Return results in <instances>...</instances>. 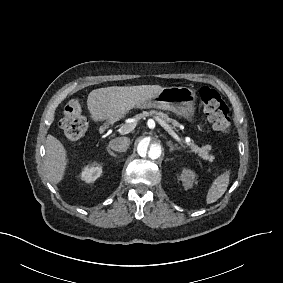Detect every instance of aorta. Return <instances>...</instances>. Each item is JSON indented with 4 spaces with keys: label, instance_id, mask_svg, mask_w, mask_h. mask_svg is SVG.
Returning a JSON list of instances; mask_svg holds the SVG:
<instances>
[{
    "label": "aorta",
    "instance_id": "1",
    "mask_svg": "<svg viewBox=\"0 0 283 283\" xmlns=\"http://www.w3.org/2000/svg\"><path fill=\"white\" fill-rule=\"evenodd\" d=\"M164 144V140L159 135L146 134L141 136L136 141V152L140 161L149 165L161 161L164 154Z\"/></svg>",
    "mask_w": 283,
    "mask_h": 283
}]
</instances>
